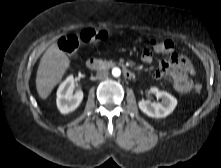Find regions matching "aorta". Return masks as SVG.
<instances>
[{
	"instance_id": "obj_1",
	"label": "aorta",
	"mask_w": 221,
	"mask_h": 168,
	"mask_svg": "<svg viewBox=\"0 0 221 168\" xmlns=\"http://www.w3.org/2000/svg\"><path fill=\"white\" fill-rule=\"evenodd\" d=\"M112 75H113L114 77H119V76L121 75V70H120V68L114 67V68L112 69Z\"/></svg>"
}]
</instances>
